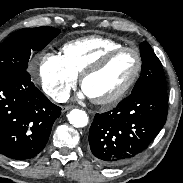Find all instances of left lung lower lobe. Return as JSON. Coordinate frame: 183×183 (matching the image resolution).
Wrapping results in <instances>:
<instances>
[{
    "instance_id": "1",
    "label": "left lung lower lobe",
    "mask_w": 183,
    "mask_h": 183,
    "mask_svg": "<svg viewBox=\"0 0 183 183\" xmlns=\"http://www.w3.org/2000/svg\"><path fill=\"white\" fill-rule=\"evenodd\" d=\"M166 89L132 92L113 110L96 114L89 131L90 150L103 166H118L144 151L166 122Z\"/></svg>"
}]
</instances>
